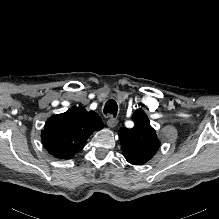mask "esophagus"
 Returning a JSON list of instances; mask_svg holds the SVG:
<instances>
[{
	"label": "esophagus",
	"mask_w": 219,
	"mask_h": 219,
	"mask_svg": "<svg viewBox=\"0 0 219 219\" xmlns=\"http://www.w3.org/2000/svg\"><path fill=\"white\" fill-rule=\"evenodd\" d=\"M118 124V120L114 118L112 115L108 116L107 125L109 128H115Z\"/></svg>",
	"instance_id": "1"
}]
</instances>
